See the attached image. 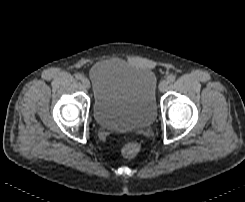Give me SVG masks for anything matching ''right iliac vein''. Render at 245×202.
Returning <instances> with one entry per match:
<instances>
[{
	"label": "right iliac vein",
	"instance_id": "right-iliac-vein-1",
	"mask_svg": "<svg viewBox=\"0 0 245 202\" xmlns=\"http://www.w3.org/2000/svg\"><path fill=\"white\" fill-rule=\"evenodd\" d=\"M82 85L85 87V88H87V89H89L90 88V82H89V80L86 78V77H82Z\"/></svg>",
	"mask_w": 245,
	"mask_h": 202
}]
</instances>
